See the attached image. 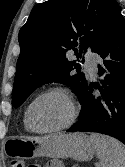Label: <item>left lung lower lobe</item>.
<instances>
[{
	"instance_id": "0a47b994",
	"label": "left lung lower lobe",
	"mask_w": 125,
	"mask_h": 167,
	"mask_svg": "<svg viewBox=\"0 0 125 167\" xmlns=\"http://www.w3.org/2000/svg\"><path fill=\"white\" fill-rule=\"evenodd\" d=\"M102 58L98 74L102 97L93 95L87 85L80 96V119L68 132H97L112 136L125 144V21L120 14L96 51Z\"/></svg>"
}]
</instances>
